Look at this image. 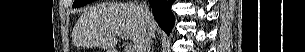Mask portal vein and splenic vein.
<instances>
[{
    "mask_svg": "<svg viewBox=\"0 0 305 52\" xmlns=\"http://www.w3.org/2000/svg\"><path fill=\"white\" fill-rule=\"evenodd\" d=\"M117 36H119L122 39H126L127 35L126 34H122V33H118ZM126 52H133V48L131 46H127L126 47Z\"/></svg>",
    "mask_w": 305,
    "mask_h": 52,
    "instance_id": "portal-vein-and-splenic-vein-1",
    "label": "portal vein and splenic vein"
}]
</instances>
